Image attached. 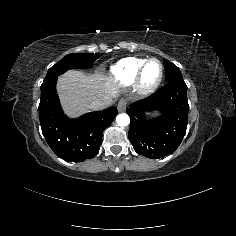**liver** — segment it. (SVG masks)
Listing matches in <instances>:
<instances>
[{"label":"liver","instance_id":"liver-1","mask_svg":"<svg viewBox=\"0 0 236 236\" xmlns=\"http://www.w3.org/2000/svg\"><path fill=\"white\" fill-rule=\"evenodd\" d=\"M57 92L64 112L69 117H77L86 112L88 104L95 99L111 104L119 91L102 74L86 75L81 71L69 70L58 77Z\"/></svg>","mask_w":236,"mask_h":236}]
</instances>
